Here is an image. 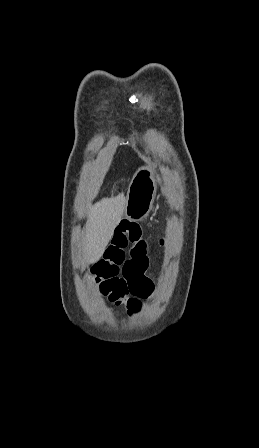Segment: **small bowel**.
Wrapping results in <instances>:
<instances>
[{"label":"small bowel","mask_w":259,"mask_h":448,"mask_svg":"<svg viewBox=\"0 0 259 448\" xmlns=\"http://www.w3.org/2000/svg\"><path fill=\"white\" fill-rule=\"evenodd\" d=\"M147 243L139 223L122 219L113 229L102 258L92 268V279L100 293L129 314L143 311V300L151 297L153 283L145 275L149 259Z\"/></svg>","instance_id":"obj_1"}]
</instances>
